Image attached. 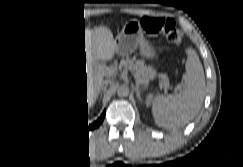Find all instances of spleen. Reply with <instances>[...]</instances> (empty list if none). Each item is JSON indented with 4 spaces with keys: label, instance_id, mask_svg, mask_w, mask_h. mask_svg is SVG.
Here are the masks:
<instances>
[{
    "label": "spleen",
    "instance_id": "1",
    "mask_svg": "<svg viewBox=\"0 0 243 167\" xmlns=\"http://www.w3.org/2000/svg\"><path fill=\"white\" fill-rule=\"evenodd\" d=\"M184 75L185 86L181 94L157 96L152 105L155 123L164 128L182 127L201 109L205 95V77L202 64L194 50H188Z\"/></svg>",
    "mask_w": 243,
    "mask_h": 167
}]
</instances>
